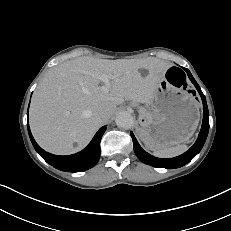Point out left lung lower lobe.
Masks as SVG:
<instances>
[{
    "instance_id": "obj_1",
    "label": "left lung lower lobe",
    "mask_w": 231,
    "mask_h": 231,
    "mask_svg": "<svg viewBox=\"0 0 231 231\" xmlns=\"http://www.w3.org/2000/svg\"><path fill=\"white\" fill-rule=\"evenodd\" d=\"M190 80L192 83L195 85L196 89L198 90L202 102H203V123L201 127V131L199 133L198 139L196 140L195 144L184 154L174 157V158H169V159H161L154 157L150 154H148L146 151H144L139 143L137 142L134 134L131 132V137L133 140V145H134V152L137 155V157L142 161L143 163L147 165H151L153 167H158V168H167V169H173V168H179L184 166L185 164L189 163L202 149L207 135L209 131V112H208V107L206 103V98L204 94L202 93L199 85L195 81V79L192 77L190 72H187Z\"/></svg>"
}]
</instances>
